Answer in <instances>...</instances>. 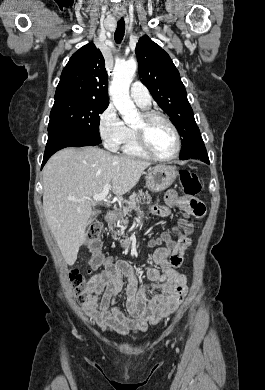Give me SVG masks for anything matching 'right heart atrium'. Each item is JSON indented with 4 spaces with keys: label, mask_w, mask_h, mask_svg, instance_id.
<instances>
[{
    "label": "right heart atrium",
    "mask_w": 265,
    "mask_h": 390,
    "mask_svg": "<svg viewBox=\"0 0 265 390\" xmlns=\"http://www.w3.org/2000/svg\"><path fill=\"white\" fill-rule=\"evenodd\" d=\"M127 126L119 117L114 105L109 104L100 114L98 131L109 150H117L126 135Z\"/></svg>",
    "instance_id": "d8ad5b80"
}]
</instances>
